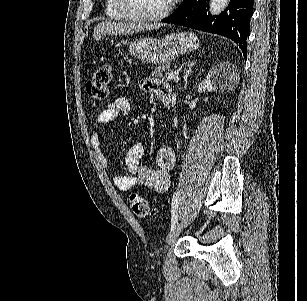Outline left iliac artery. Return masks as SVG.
<instances>
[{"label":"left iliac artery","mask_w":307,"mask_h":301,"mask_svg":"<svg viewBox=\"0 0 307 301\" xmlns=\"http://www.w3.org/2000/svg\"><path fill=\"white\" fill-rule=\"evenodd\" d=\"M179 192H175L172 198V203H171V213H172V219H171V230L174 229L178 222V200H179Z\"/></svg>","instance_id":"44dca946"}]
</instances>
